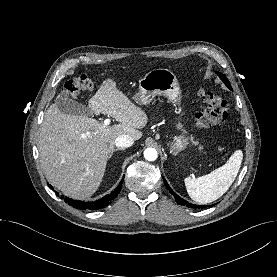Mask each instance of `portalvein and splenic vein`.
Segmentation results:
<instances>
[{
	"label": "portal vein and splenic vein",
	"mask_w": 277,
	"mask_h": 277,
	"mask_svg": "<svg viewBox=\"0 0 277 277\" xmlns=\"http://www.w3.org/2000/svg\"><path fill=\"white\" fill-rule=\"evenodd\" d=\"M110 122H111V120L107 118V119H105L104 124H105V125H109Z\"/></svg>",
	"instance_id": "1"
}]
</instances>
